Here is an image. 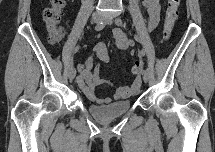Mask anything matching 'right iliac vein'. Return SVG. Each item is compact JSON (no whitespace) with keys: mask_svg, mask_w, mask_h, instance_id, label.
Instances as JSON below:
<instances>
[{"mask_svg":"<svg viewBox=\"0 0 215 152\" xmlns=\"http://www.w3.org/2000/svg\"><path fill=\"white\" fill-rule=\"evenodd\" d=\"M101 20H102V16H100L99 14H94L92 16L91 21L94 24H98ZM75 75H76V71H75L74 67H71L70 70H69V78H70V80H73L75 78Z\"/></svg>","mask_w":215,"mask_h":152,"instance_id":"63e3f726","label":"right iliac vein"}]
</instances>
